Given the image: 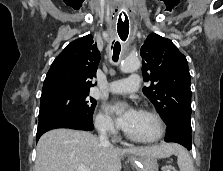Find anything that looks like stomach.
I'll use <instances>...</instances> for the list:
<instances>
[{
	"label": "stomach",
	"mask_w": 223,
	"mask_h": 171,
	"mask_svg": "<svg viewBox=\"0 0 223 171\" xmlns=\"http://www.w3.org/2000/svg\"><path fill=\"white\" fill-rule=\"evenodd\" d=\"M133 162L137 171H158L157 158L153 156H138Z\"/></svg>",
	"instance_id": "1"
}]
</instances>
